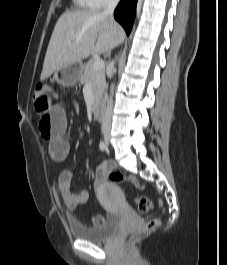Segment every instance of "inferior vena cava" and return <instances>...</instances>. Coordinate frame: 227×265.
<instances>
[{
    "label": "inferior vena cava",
    "mask_w": 227,
    "mask_h": 265,
    "mask_svg": "<svg viewBox=\"0 0 227 265\" xmlns=\"http://www.w3.org/2000/svg\"><path fill=\"white\" fill-rule=\"evenodd\" d=\"M120 0H108L107 6L103 11V15L114 20L113 19V13L114 10L119 3ZM114 67V61L110 62L107 68V74L108 77L112 76V70ZM112 109H113V99H112V90H111V95L110 98L108 99L107 102V108L105 112V116L102 121V131L103 132H109L111 129V117H112Z\"/></svg>",
    "instance_id": "inferior-vena-cava-1"
}]
</instances>
